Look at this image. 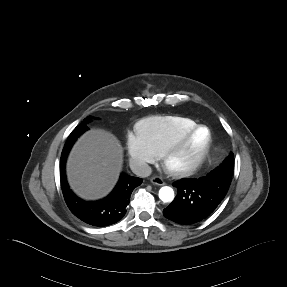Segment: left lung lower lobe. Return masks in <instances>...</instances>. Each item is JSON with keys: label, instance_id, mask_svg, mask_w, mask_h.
<instances>
[{"label": "left lung lower lobe", "instance_id": "0a47b994", "mask_svg": "<svg viewBox=\"0 0 287 287\" xmlns=\"http://www.w3.org/2000/svg\"><path fill=\"white\" fill-rule=\"evenodd\" d=\"M224 169H214L199 179H181L173 185L178 193L163 210L164 216L176 223L189 225L208 217L224 199L231 178Z\"/></svg>", "mask_w": 287, "mask_h": 287}]
</instances>
